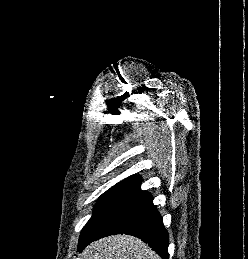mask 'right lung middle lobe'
Returning <instances> with one entry per match:
<instances>
[{
  "label": "right lung middle lobe",
  "instance_id": "right-lung-middle-lobe-1",
  "mask_svg": "<svg viewBox=\"0 0 248 259\" xmlns=\"http://www.w3.org/2000/svg\"><path fill=\"white\" fill-rule=\"evenodd\" d=\"M133 186L127 184H116L109 190H107L98 200L94 213L87 224L83 227L80 235V239L87 236L102 220L109 209Z\"/></svg>",
  "mask_w": 248,
  "mask_h": 259
}]
</instances>
